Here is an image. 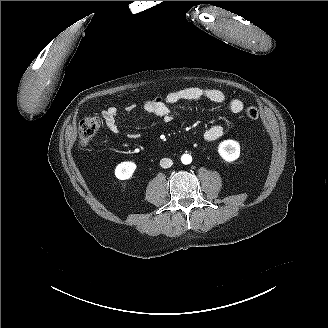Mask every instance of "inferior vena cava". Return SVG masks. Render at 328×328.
<instances>
[{
    "label": "inferior vena cava",
    "mask_w": 328,
    "mask_h": 328,
    "mask_svg": "<svg viewBox=\"0 0 328 328\" xmlns=\"http://www.w3.org/2000/svg\"><path fill=\"white\" fill-rule=\"evenodd\" d=\"M173 162L169 158H163L160 160V166L162 168H170L172 166Z\"/></svg>",
    "instance_id": "1"
}]
</instances>
